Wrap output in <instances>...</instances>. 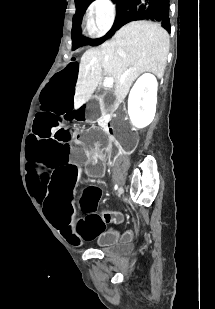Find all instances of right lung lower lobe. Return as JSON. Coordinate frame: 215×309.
I'll return each instance as SVG.
<instances>
[{
    "label": "right lung lower lobe",
    "mask_w": 215,
    "mask_h": 309,
    "mask_svg": "<svg viewBox=\"0 0 215 309\" xmlns=\"http://www.w3.org/2000/svg\"><path fill=\"white\" fill-rule=\"evenodd\" d=\"M141 19L159 22L170 31L169 0H133L119 17L117 29L130 21Z\"/></svg>",
    "instance_id": "1"
}]
</instances>
